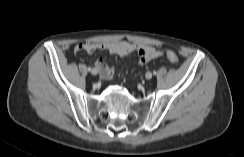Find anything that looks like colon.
<instances>
[{
    "label": "colon",
    "mask_w": 244,
    "mask_h": 157,
    "mask_svg": "<svg viewBox=\"0 0 244 157\" xmlns=\"http://www.w3.org/2000/svg\"><path fill=\"white\" fill-rule=\"evenodd\" d=\"M165 54L171 63H174V64L178 63V61H179L178 56L173 51H166ZM147 59H148L147 55L143 52H141L138 56L139 62L144 63L147 61Z\"/></svg>",
    "instance_id": "obj_1"
}]
</instances>
